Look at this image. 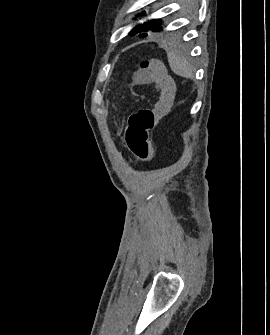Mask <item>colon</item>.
Masks as SVG:
<instances>
[{"label": "colon", "instance_id": "5ec220e1", "mask_svg": "<svg viewBox=\"0 0 270 335\" xmlns=\"http://www.w3.org/2000/svg\"><path fill=\"white\" fill-rule=\"evenodd\" d=\"M165 62L161 57H150L138 65L134 76V85H148L152 89H160L157 102L153 107H142L132 112L127 119L124 141L130 154L140 162H145L151 154L153 142L149 141L150 131L157 125V119L168 115L167 109H175L176 93L173 90L174 72H164ZM156 109V110H155ZM158 154V149H153ZM153 163H160V156H153Z\"/></svg>", "mask_w": 270, "mask_h": 335}]
</instances>
